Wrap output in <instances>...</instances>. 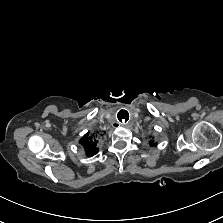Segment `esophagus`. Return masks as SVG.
<instances>
[{
    "mask_svg": "<svg viewBox=\"0 0 223 223\" xmlns=\"http://www.w3.org/2000/svg\"><path fill=\"white\" fill-rule=\"evenodd\" d=\"M117 121L122 126H127L132 121V116L129 112L121 110L117 115Z\"/></svg>",
    "mask_w": 223,
    "mask_h": 223,
    "instance_id": "esophagus-1",
    "label": "esophagus"
}]
</instances>
